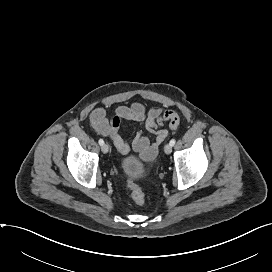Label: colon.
I'll list each match as a JSON object with an SVG mask.
<instances>
[{
	"instance_id": "1",
	"label": "colon",
	"mask_w": 272,
	"mask_h": 272,
	"mask_svg": "<svg viewBox=\"0 0 272 272\" xmlns=\"http://www.w3.org/2000/svg\"><path fill=\"white\" fill-rule=\"evenodd\" d=\"M96 119H98L99 121H101L102 119V115L101 113L97 112L95 114ZM114 124L118 123V119L115 117L113 119ZM127 188L130 191L131 197L133 199V201L137 204V205H144L145 203V195L143 190L135 183H133L132 181H128L127 182Z\"/></svg>"
}]
</instances>
